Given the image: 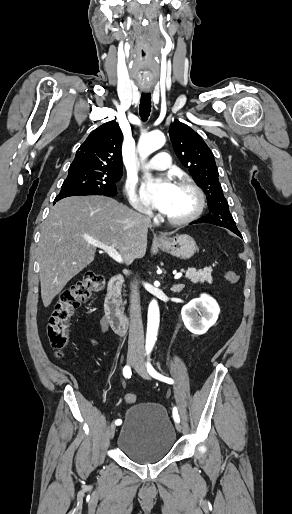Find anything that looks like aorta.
Instances as JSON below:
<instances>
[{"label": "aorta", "instance_id": "1", "mask_svg": "<svg viewBox=\"0 0 292 514\" xmlns=\"http://www.w3.org/2000/svg\"><path fill=\"white\" fill-rule=\"evenodd\" d=\"M166 142V138L162 132H149L145 136H141L138 150L142 158H147L152 152H156L159 148H162ZM150 176V174H146ZM159 328V308L156 300H152L148 308V324H147V338L146 348L152 350L157 332Z\"/></svg>", "mask_w": 292, "mask_h": 514}]
</instances>
